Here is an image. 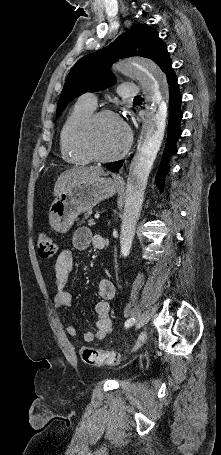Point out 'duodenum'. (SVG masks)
Here are the masks:
<instances>
[{
    "mask_svg": "<svg viewBox=\"0 0 221 455\" xmlns=\"http://www.w3.org/2000/svg\"><path fill=\"white\" fill-rule=\"evenodd\" d=\"M96 248L97 249H103L105 247V238L101 237L97 242H96Z\"/></svg>",
    "mask_w": 221,
    "mask_h": 455,
    "instance_id": "410a0bca",
    "label": "duodenum"
}]
</instances>
